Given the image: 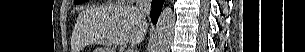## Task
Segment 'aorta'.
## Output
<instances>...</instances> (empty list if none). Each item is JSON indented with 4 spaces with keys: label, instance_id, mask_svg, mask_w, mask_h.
<instances>
[{
    "label": "aorta",
    "instance_id": "obj_1",
    "mask_svg": "<svg viewBox=\"0 0 305 52\" xmlns=\"http://www.w3.org/2000/svg\"><path fill=\"white\" fill-rule=\"evenodd\" d=\"M174 22L172 9L169 7L163 8L156 25L151 52H169L173 39Z\"/></svg>",
    "mask_w": 305,
    "mask_h": 52
}]
</instances>
